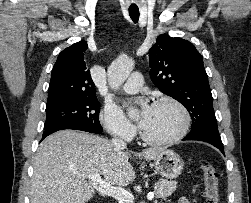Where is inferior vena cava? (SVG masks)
I'll return each instance as SVG.
<instances>
[{"label": "inferior vena cava", "mask_w": 251, "mask_h": 203, "mask_svg": "<svg viewBox=\"0 0 251 203\" xmlns=\"http://www.w3.org/2000/svg\"><path fill=\"white\" fill-rule=\"evenodd\" d=\"M112 144L116 148H120V149H125L126 148V142H124L123 140H121L119 138H113L112 139Z\"/></svg>", "instance_id": "inferior-vena-cava-1"}]
</instances>
